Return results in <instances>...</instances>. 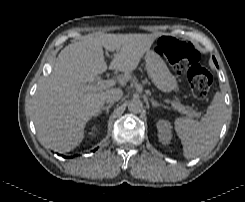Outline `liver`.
I'll return each instance as SVG.
<instances>
[{
  "instance_id": "1",
  "label": "liver",
  "mask_w": 245,
  "mask_h": 202,
  "mask_svg": "<svg viewBox=\"0 0 245 202\" xmlns=\"http://www.w3.org/2000/svg\"><path fill=\"white\" fill-rule=\"evenodd\" d=\"M156 37L94 33L62 49L52 72L35 93L33 118L41 143L64 153L82 142L86 123L98 115L108 91L83 89L107 70L103 48L115 51L110 67L125 74L119 82L126 86L127 76L137 68Z\"/></svg>"
}]
</instances>
